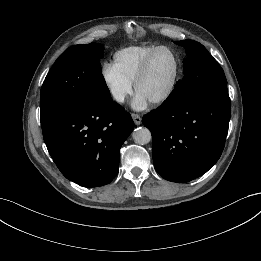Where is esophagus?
<instances>
[{
    "mask_svg": "<svg viewBox=\"0 0 261 261\" xmlns=\"http://www.w3.org/2000/svg\"><path fill=\"white\" fill-rule=\"evenodd\" d=\"M131 116H132V119H133V121L136 125L141 124L142 118L139 114L132 113Z\"/></svg>",
    "mask_w": 261,
    "mask_h": 261,
    "instance_id": "esophagus-1",
    "label": "esophagus"
}]
</instances>
